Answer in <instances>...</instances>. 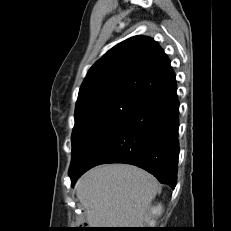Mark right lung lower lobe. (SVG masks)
Returning a JSON list of instances; mask_svg holds the SVG:
<instances>
[{
	"label": "right lung lower lobe",
	"instance_id": "obj_1",
	"mask_svg": "<svg viewBox=\"0 0 231 231\" xmlns=\"http://www.w3.org/2000/svg\"><path fill=\"white\" fill-rule=\"evenodd\" d=\"M179 101L176 89L144 100L142 106L98 144L74 169L72 184L88 169L104 163H127L145 169L161 183L176 185Z\"/></svg>",
	"mask_w": 231,
	"mask_h": 231
}]
</instances>
